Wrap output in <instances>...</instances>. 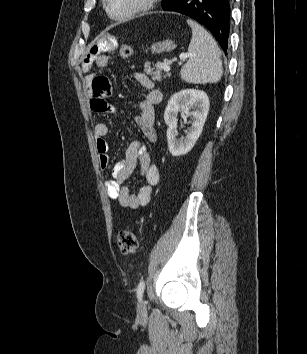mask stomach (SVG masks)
I'll return each mask as SVG.
<instances>
[{
  "instance_id": "obj_1",
  "label": "stomach",
  "mask_w": 307,
  "mask_h": 354,
  "mask_svg": "<svg viewBox=\"0 0 307 354\" xmlns=\"http://www.w3.org/2000/svg\"><path fill=\"white\" fill-rule=\"evenodd\" d=\"M175 48H176V44L174 43V41L169 40V39L159 41V42L153 43L151 45L152 53H156V54L163 53V52H169Z\"/></svg>"
}]
</instances>
